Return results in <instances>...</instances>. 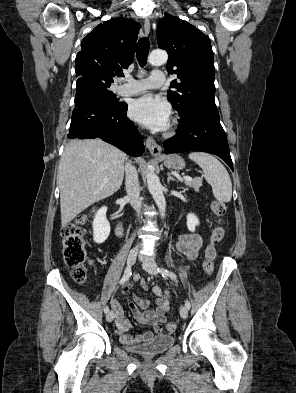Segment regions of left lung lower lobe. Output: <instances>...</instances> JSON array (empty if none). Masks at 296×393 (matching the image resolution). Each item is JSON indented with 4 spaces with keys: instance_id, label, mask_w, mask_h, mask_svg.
<instances>
[{
    "instance_id": "0a47b994",
    "label": "left lung lower lobe",
    "mask_w": 296,
    "mask_h": 393,
    "mask_svg": "<svg viewBox=\"0 0 296 393\" xmlns=\"http://www.w3.org/2000/svg\"><path fill=\"white\" fill-rule=\"evenodd\" d=\"M164 151L212 153L222 158L233 170L226 134L216 108L196 109L187 119L181 121L176 135L164 141Z\"/></svg>"
}]
</instances>
